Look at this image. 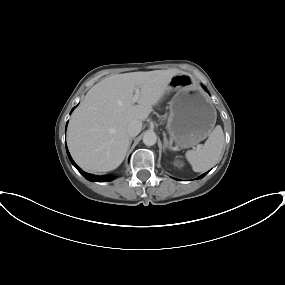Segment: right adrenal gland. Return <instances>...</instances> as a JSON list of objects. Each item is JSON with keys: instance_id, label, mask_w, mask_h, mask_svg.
<instances>
[{"instance_id": "1", "label": "right adrenal gland", "mask_w": 285, "mask_h": 285, "mask_svg": "<svg viewBox=\"0 0 285 285\" xmlns=\"http://www.w3.org/2000/svg\"><path fill=\"white\" fill-rule=\"evenodd\" d=\"M133 140H134V137H133V138H130L128 149L130 148V146H131Z\"/></svg>"}]
</instances>
